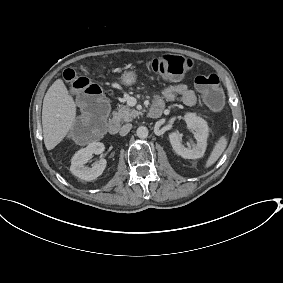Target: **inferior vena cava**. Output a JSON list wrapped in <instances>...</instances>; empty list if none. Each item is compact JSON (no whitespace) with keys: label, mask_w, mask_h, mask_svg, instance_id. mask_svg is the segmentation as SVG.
<instances>
[{"label":"inferior vena cava","mask_w":283,"mask_h":283,"mask_svg":"<svg viewBox=\"0 0 283 283\" xmlns=\"http://www.w3.org/2000/svg\"><path fill=\"white\" fill-rule=\"evenodd\" d=\"M131 128H132L131 124H126V125L122 126L121 130L119 131V135L120 136L127 135L130 132Z\"/></svg>","instance_id":"inferior-vena-cava-1"}]
</instances>
